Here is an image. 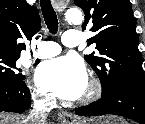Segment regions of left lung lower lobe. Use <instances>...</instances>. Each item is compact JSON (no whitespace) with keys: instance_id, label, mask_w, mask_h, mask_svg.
I'll return each instance as SVG.
<instances>
[{"instance_id":"1","label":"left lung lower lobe","mask_w":145,"mask_h":124,"mask_svg":"<svg viewBox=\"0 0 145 124\" xmlns=\"http://www.w3.org/2000/svg\"><path fill=\"white\" fill-rule=\"evenodd\" d=\"M79 116H98L113 114L145 124V89L122 85L102 97L95 103L77 108Z\"/></svg>"}]
</instances>
